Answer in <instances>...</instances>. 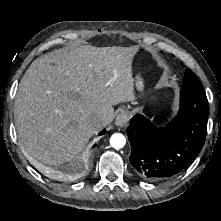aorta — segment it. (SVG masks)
Returning <instances> with one entry per match:
<instances>
[{
	"label": "aorta",
	"mask_w": 221,
	"mask_h": 221,
	"mask_svg": "<svg viewBox=\"0 0 221 221\" xmlns=\"http://www.w3.org/2000/svg\"><path fill=\"white\" fill-rule=\"evenodd\" d=\"M126 144V138L121 133H115L110 138V145L115 149H121Z\"/></svg>",
	"instance_id": "1"
}]
</instances>
